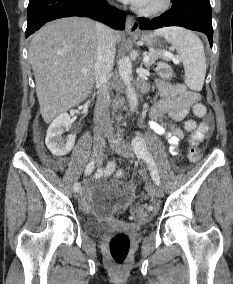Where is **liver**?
<instances>
[{
  "mask_svg": "<svg viewBox=\"0 0 233 284\" xmlns=\"http://www.w3.org/2000/svg\"><path fill=\"white\" fill-rule=\"evenodd\" d=\"M96 22L80 17L47 23L31 39L33 69L40 113L46 123L79 105L91 93L97 58ZM116 43L121 33L113 31ZM86 69V73H82Z\"/></svg>",
  "mask_w": 233,
  "mask_h": 284,
  "instance_id": "6515ba94",
  "label": "liver"
}]
</instances>
